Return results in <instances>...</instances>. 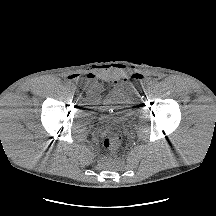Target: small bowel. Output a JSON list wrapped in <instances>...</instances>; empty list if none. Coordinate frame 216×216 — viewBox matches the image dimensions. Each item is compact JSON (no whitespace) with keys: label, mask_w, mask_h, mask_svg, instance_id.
Segmentation results:
<instances>
[{"label":"small bowel","mask_w":216,"mask_h":216,"mask_svg":"<svg viewBox=\"0 0 216 216\" xmlns=\"http://www.w3.org/2000/svg\"><path fill=\"white\" fill-rule=\"evenodd\" d=\"M88 77H90L89 79L91 80V84H90L91 88L90 89L92 90V95H93L95 90L101 86L97 81H94V78H93L94 76H88ZM78 78H79L78 75L68 76V80L70 82L76 81ZM132 78L135 80H141L143 78V75L139 74V73H135V74H133Z\"/></svg>","instance_id":"1"}]
</instances>
